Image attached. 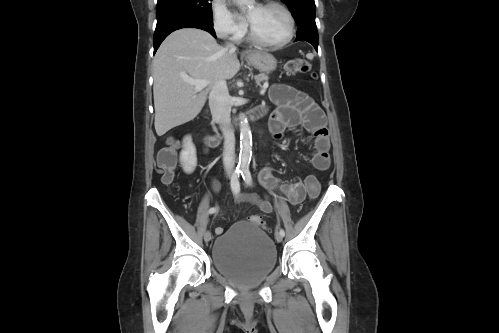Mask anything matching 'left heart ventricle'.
<instances>
[{"label":"left heart ventricle","instance_id":"left-heart-ventricle-1","mask_svg":"<svg viewBox=\"0 0 499 333\" xmlns=\"http://www.w3.org/2000/svg\"><path fill=\"white\" fill-rule=\"evenodd\" d=\"M248 18L256 34L266 41L282 40L288 33V19L279 8L252 6Z\"/></svg>","mask_w":499,"mask_h":333}]
</instances>
